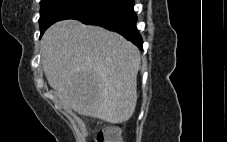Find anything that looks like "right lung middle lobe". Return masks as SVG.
I'll use <instances>...</instances> for the list:
<instances>
[{"mask_svg":"<svg viewBox=\"0 0 227 142\" xmlns=\"http://www.w3.org/2000/svg\"><path fill=\"white\" fill-rule=\"evenodd\" d=\"M110 2L112 0H41L39 19L41 33L59 20L73 19L100 9Z\"/></svg>","mask_w":227,"mask_h":142,"instance_id":"right-lung-middle-lobe-1","label":"right lung middle lobe"}]
</instances>
